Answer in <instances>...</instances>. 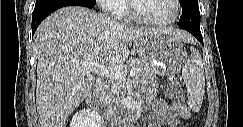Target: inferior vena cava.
Segmentation results:
<instances>
[{
  "mask_svg": "<svg viewBox=\"0 0 243 127\" xmlns=\"http://www.w3.org/2000/svg\"><path fill=\"white\" fill-rule=\"evenodd\" d=\"M111 127H117V121L112 122Z\"/></svg>",
  "mask_w": 243,
  "mask_h": 127,
  "instance_id": "obj_1",
  "label": "inferior vena cava"
}]
</instances>
